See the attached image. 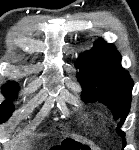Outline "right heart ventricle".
<instances>
[{"instance_id": "obj_1", "label": "right heart ventricle", "mask_w": 139, "mask_h": 150, "mask_svg": "<svg viewBox=\"0 0 139 150\" xmlns=\"http://www.w3.org/2000/svg\"><path fill=\"white\" fill-rule=\"evenodd\" d=\"M84 118H85V120H86L87 122H89V123H91V122H93V121L96 120L95 115H94V114H91V113H86V114L84 115Z\"/></svg>"}]
</instances>
